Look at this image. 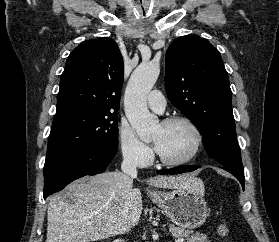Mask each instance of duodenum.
Masks as SVG:
<instances>
[{"label":"duodenum","mask_w":279,"mask_h":242,"mask_svg":"<svg viewBox=\"0 0 279 242\" xmlns=\"http://www.w3.org/2000/svg\"><path fill=\"white\" fill-rule=\"evenodd\" d=\"M114 242H122L121 240H116V241H114Z\"/></svg>","instance_id":"410a0bca"}]
</instances>
